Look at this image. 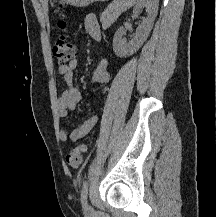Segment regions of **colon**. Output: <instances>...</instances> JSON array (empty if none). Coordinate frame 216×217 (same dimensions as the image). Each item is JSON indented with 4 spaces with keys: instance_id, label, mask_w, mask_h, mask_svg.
Listing matches in <instances>:
<instances>
[{
    "instance_id": "colon-1",
    "label": "colon",
    "mask_w": 216,
    "mask_h": 217,
    "mask_svg": "<svg viewBox=\"0 0 216 217\" xmlns=\"http://www.w3.org/2000/svg\"><path fill=\"white\" fill-rule=\"evenodd\" d=\"M61 30L65 31L67 22L61 18L58 22ZM53 55L60 65L70 63L75 55V47L72 42L68 40L67 35L63 34L53 45ZM86 151L85 144H79L74 147L66 156V163L73 169L79 168L82 162V155Z\"/></svg>"
}]
</instances>
